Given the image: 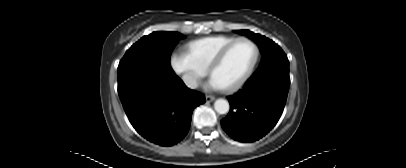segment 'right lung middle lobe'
Masks as SVG:
<instances>
[{
  "mask_svg": "<svg viewBox=\"0 0 406 168\" xmlns=\"http://www.w3.org/2000/svg\"><path fill=\"white\" fill-rule=\"evenodd\" d=\"M181 38L175 32H153L133 44L118 66V92L175 75L170 55Z\"/></svg>",
  "mask_w": 406,
  "mask_h": 168,
  "instance_id": "dd1d6c3e",
  "label": "right lung middle lobe"
}]
</instances>
